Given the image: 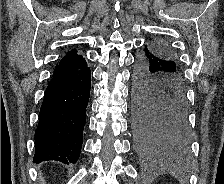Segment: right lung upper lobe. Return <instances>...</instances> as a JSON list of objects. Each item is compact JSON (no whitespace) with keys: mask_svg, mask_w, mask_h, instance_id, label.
Returning <instances> with one entry per match:
<instances>
[{"mask_svg":"<svg viewBox=\"0 0 224 184\" xmlns=\"http://www.w3.org/2000/svg\"><path fill=\"white\" fill-rule=\"evenodd\" d=\"M85 63V59L81 55H78L75 49H72L66 53L54 73L75 69Z\"/></svg>","mask_w":224,"mask_h":184,"instance_id":"cb5924a9","label":"right lung upper lobe"}]
</instances>
